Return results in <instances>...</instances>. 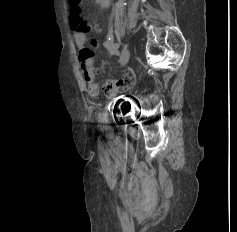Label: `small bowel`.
I'll return each mask as SVG.
<instances>
[{"label":"small bowel","mask_w":237,"mask_h":232,"mask_svg":"<svg viewBox=\"0 0 237 232\" xmlns=\"http://www.w3.org/2000/svg\"><path fill=\"white\" fill-rule=\"evenodd\" d=\"M76 46L79 53V61L84 80L87 84V90L91 97H96L99 93V87L96 80V70L94 66V49L95 43L87 44L86 33L75 32L74 35ZM112 39L109 38L104 44V48L110 54L116 53V48L113 46ZM134 74L132 70L127 69L123 72L122 77L116 80H108L104 87V93L108 97H114L120 92L129 89L133 83Z\"/></svg>","instance_id":"c3829d8e"}]
</instances>
